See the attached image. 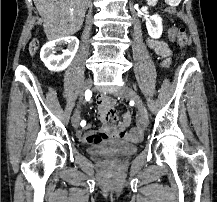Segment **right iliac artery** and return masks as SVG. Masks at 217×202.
I'll list each match as a JSON object with an SVG mask.
<instances>
[{
    "instance_id": "1",
    "label": "right iliac artery",
    "mask_w": 217,
    "mask_h": 202,
    "mask_svg": "<svg viewBox=\"0 0 217 202\" xmlns=\"http://www.w3.org/2000/svg\"><path fill=\"white\" fill-rule=\"evenodd\" d=\"M91 96H92V92L90 90H86V92H85V100H86V102H91V100H92ZM80 125L82 127H84L86 125V121H84V120L81 121Z\"/></svg>"
}]
</instances>
